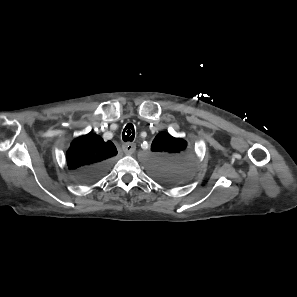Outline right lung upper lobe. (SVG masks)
<instances>
[{
    "label": "right lung upper lobe",
    "instance_id": "cb5924a9",
    "mask_svg": "<svg viewBox=\"0 0 297 297\" xmlns=\"http://www.w3.org/2000/svg\"><path fill=\"white\" fill-rule=\"evenodd\" d=\"M117 150L111 141L105 142L100 136L89 133L73 141L67 152L69 169L80 172L86 167L107 162Z\"/></svg>",
    "mask_w": 297,
    "mask_h": 297
}]
</instances>
